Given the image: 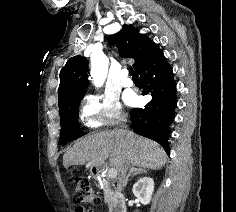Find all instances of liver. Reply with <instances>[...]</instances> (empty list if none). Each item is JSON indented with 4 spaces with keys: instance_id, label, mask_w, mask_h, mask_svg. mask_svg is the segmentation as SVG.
I'll list each match as a JSON object with an SVG mask.
<instances>
[{
    "instance_id": "6515ba94",
    "label": "liver",
    "mask_w": 236,
    "mask_h": 212,
    "mask_svg": "<svg viewBox=\"0 0 236 212\" xmlns=\"http://www.w3.org/2000/svg\"><path fill=\"white\" fill-rule=\"evenodd\" d=\"M109 157L116 171L126 158L129 164L144 169H160L167 161L164 149L156 142L126 130H106L76 141L64 154L63 165L100 167Z\"/></svg>"
}]
</instances>
